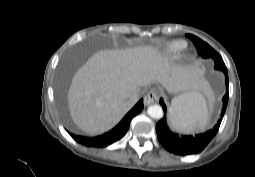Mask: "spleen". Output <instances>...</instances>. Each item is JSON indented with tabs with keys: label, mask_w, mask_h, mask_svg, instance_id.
I'll use <instances>...</instances> for the list:
<instances>
[{
	"label": "spleen",
	"mask_w": 255,
	"mask_h": 177,
	"mask_svg": "<svg viewBox=\"0 0 255 177\" xmlns=\"http://www.w3.org/2000/svg\"><path fill=\"white\" fill-rule=\"evenodd\" d=\"M171 124L180 131L204 127L209 120L204 97L199 93L181 95L172 101Z\"/></svg>",
	"instance_id": "obj_1"
}]
</instances>
